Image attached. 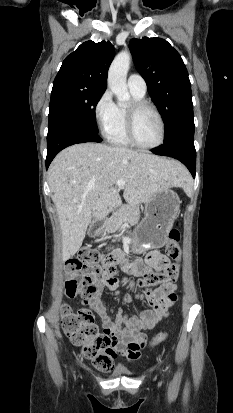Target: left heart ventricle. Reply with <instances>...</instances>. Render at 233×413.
I'll use <instances>...</instances> for the list:
<instances>
[{
	"label": "left heart ventricle",
	"mask_w": 233,
	"mask_h": 413,
	"mask_svg": "<svg viewBox=\"0 0 233 413\" xmlns=\"http://www.w3.org/2000/svg\"><path fill=\"white\" fill-rule=\"evenodd\" d=\"M135 130L138 141L144 145L156 144L160 139L161 126L150 109H144L138 114Z\"/></svg>",
	"instance_id": "b2bd125f"
}]
</instances>
